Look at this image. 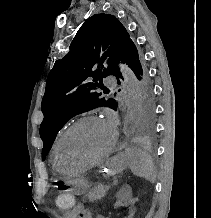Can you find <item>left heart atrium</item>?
Here are the masks:
<instances>
[{
  "mask_svg": "<svg viewBox=\"0 0 211 218\" xmlns=\"http://www.w3.org/2000/svg\"><path fill=\"white\" fill-rule=\"evenodd\" d=\"M113 115H112V113L111 112H106V119L104 120L105 121V123L107 124V125H109L110 127H112V125H113Z\"/></svg>",
  "mask_w": 211,
  "mask_h": 218,
  "instance_id": "39dd6f15",
  "label": "left heart atrium"
}]
</instances>
